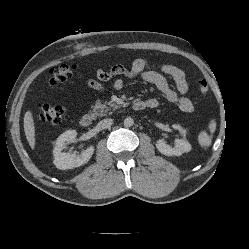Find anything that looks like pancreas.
Instances as JSON below:
<instances>
[{"instance_id": "obj_1", "label": "pancreas", "mask_w": 249, "mask_h": 249, "mask_svg": "<svg viewBox=\"0 0 249 249\" xmlns=\"http://www.w3.org/2000/svg\"><path fill=\"white\" fill-rule=\"evenodd\" d=\"M116 109V105L112 102H101L98 100L93 106V115L97 116H105L107 114H111V111Z\"/></svg>"}]
</instances>
